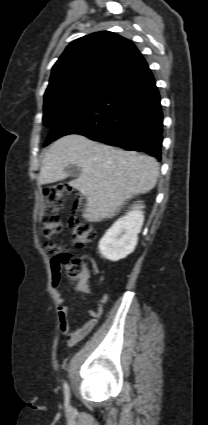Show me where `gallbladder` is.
I'll list each match as a JSON object with an SVG mask.
<instances>
[{
  "mask_svg": "<svg viewBox=\"0 0 208 425\" xmlns=\"http://www.w3.org/2000/svg\"><path fill=\"white\" fill-rule=\"evenodd\" d=\"M65 171L70 177H78L80 174V170L76 166H69Z\"/></svg>",
  "mask_w": 208,
  "mask_h": 425,
  "instance_id": "bac80fb5",
  "label": "gallbladder"
}]
</instances>
